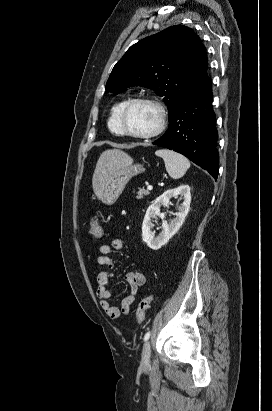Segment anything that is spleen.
<instances>
[{"label": "spleen", "mask_w": 272, "mask_h": 411, "mask_svg": "<svg viewBox=\"0 0 272 411\" xmlns=\"http://www.w3.org/2000/svg\"><path fill=\"white\" fill-rule=\"evenodd\" d=\"M155 154L164 160L166 171L173 179L183 177L190 168L189 160L182 154L167 149H159Z\"/></svg>", "instance_id": "1"}]
</instances>
